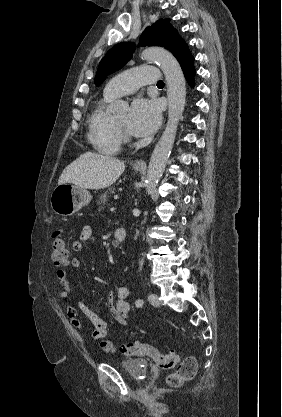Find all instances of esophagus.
I'll use <instances>...</instances> for the list:
<instances>
[{"instance_id": "1", "label": "esophagus", "mask_w": 282, "mask_h": 417, "mask_svg": "<svg viewBox=\"0 0 282 417\" xmlns=\"http://www.w3.org/2000/svg\"><path fill=\"white\" fill-rule=\"evenodd\" d=\"M135 167H146V162L144 159L137 160L135 162Z\"/></svg>"}]
</instances>
